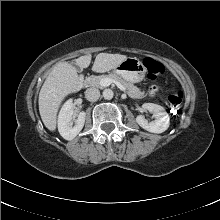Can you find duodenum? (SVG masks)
Segmentation results:
<instances>
[{"label":"duodenum","mask_w":220,"mask_h":220,"mask_svg":"<svg viewBox=\"0 0 220 220\" xmlns=\"http://www.w3.org/2000/svg\"><path fill=\"white\" fill-rule=\"evenodd\" d=\"M83 84V77H80L78 82H77V87H81Z\"/></svg>","instance_id":"1"}]
</instances>
